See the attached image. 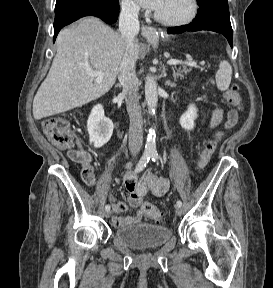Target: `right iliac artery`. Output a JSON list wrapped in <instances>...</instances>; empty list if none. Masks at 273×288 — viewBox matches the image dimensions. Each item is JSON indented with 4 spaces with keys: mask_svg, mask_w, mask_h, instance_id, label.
I'll return each instance as SVG.
<instances>
[{
    "mask_svg": "<svg viewBox=\"0 0 273 288\" xmlns=\"http://www.w3.org/2000/svg\"><path fill=\"white\" fill-rule=\"evenodd\" d=\"M151 158L150 154H143L141 159L139 160L136 168H135V173H138L140 171H142L144 169V167H146L147 163L149 162ZM105 210H110V205H106L105 206Z\"/></svg>",
    "mask_w": 273,
    "mask_h": 288,
    "instance_id": "right-iliac-artery-1",
    "label": "right iliac artery"
}]
</instances>
